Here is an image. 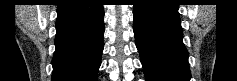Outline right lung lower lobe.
I'll return each instance as SVG.
<instances>
[{"mask_svg":"<svg viewBox=\"0 0 237 81\" xmlns=\"http://www.w3.org/2000/svg\"><path fill=\"white\" fill-rule=\"evenodd\" d=\"M52 81H97L104 9L97 0H64L57 8Z\"/></svg>","mask_w":237,"mask_h":81,"instance_id":"98d812e1","label":"right lung lower lobe"}]
</instances>
